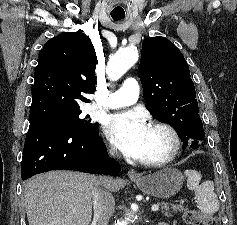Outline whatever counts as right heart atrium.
Returning a JSON list of instances; mask_svg holds the SVG:
<instances>
[{"label": "right heart atrium", "mask_w": 237, "mask_h": 225, "mask_svg": "<svg viewBox=\"0 0 237 225\" xmlns=\"http://www.w3.org/2000/svg\"><path fill=\"white\" fill-rule=\"evenodd\" d=\"M108 151H109V153L111 155H115L116 154V149L113 146H111V145L109 146Z\"/></svg>", "instance_id": "obj_1"}]
</instances>
